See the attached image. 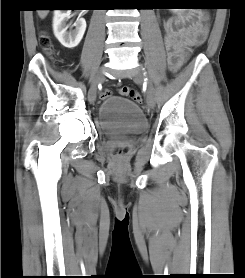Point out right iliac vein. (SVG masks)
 Segmentation results:
<instances>
[{"mask_svg":"<svg viewBox=\"0 0 245 278\" xmlns=\"http://www.w3.org/2000/svg\"><path fill=\"white\" fill-rule=\"evenodd\" d=\"M104 79V69H99L92 81L89 93H88V100L90 103H94L96 100V93H97V86L103 81Z\"/></svg>","mask_w":245,"mask_h":278,"instance_id":"right-iliac-vein-1","label":"right iliac vein"}]
</instances>
